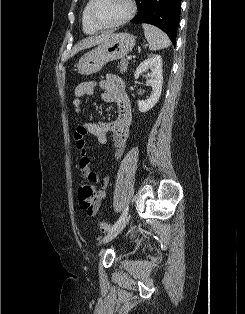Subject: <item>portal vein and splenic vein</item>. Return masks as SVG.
<instances>
[{"mask_svg":"<svg viewBox=\"0 0 245 314\" xmlns=\"http://www.w3.org/2000/svg\"><path fill=\"white\" fill-rule=\"evenodd\" d=\"M132 58V55L127 56V59L130 60Z\"/></svg>","mask_w":245,"mask_h":314,"instance_id":"18ae733b","label":"portal vein and splenic vein"}]
</instances>
